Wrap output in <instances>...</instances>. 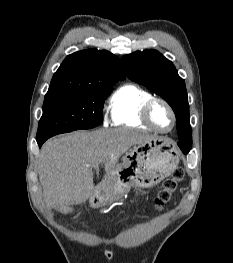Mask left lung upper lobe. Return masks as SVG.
Here are the masks:
<instances>
[{
    "label": "left lung upper lobe",
    "mask_w": 233,
    "mask_h": 263,
    "mask_svg": "<svg viewBox=\"0 0 233 263\" xmlns=\"http://www.w3.org/2000/svg\"><path fill=\"white\" fill-rule=\"evenodd\" d=\"M121 62L126 75L165 99L172 107L179 139L192 145L189 104L184 80L173 63L156 50L137 51L125 55Z\"/></svg>",
    "instance_id": "left-lung-upper-lobe-1"
}]
</instances>
